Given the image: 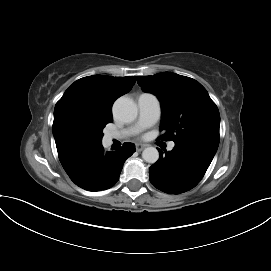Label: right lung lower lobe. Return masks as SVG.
Returning a JSON list of instances; mask_svg holds the SVG:
<instances>
[{
  "mask_svg": "<svg viewBox=\"0 0 271 271\" xmlns=\"http://www.w3.org/2000/svg\"><path fill=\"white\" fill-rule=\"evenodd\" d=\"M134 152L133 143H124L111 152H105L101 145L97 151L75 161L65 171L77 186L85 190H106L119 180L125 160Z\"/></svg>",
  "mask_w": 271,
  "mask_h": 271,
  "instance_id": "obj_1",
  "label": "right lung lower lobe"
}]
</instances>
